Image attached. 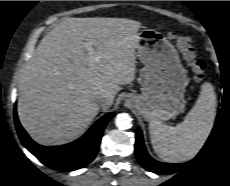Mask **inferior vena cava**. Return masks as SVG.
Returning <instances> with one entry per match:
<instances>
[{"mask_svg":"<svg viewBox=\"0 0 230 186\" xmlns=\"http://www.w3.org/2000/svg\"><path fill=\"white\" fill-rule=\"evenodd\" d=\"M96 103L99 105V106H104L105 104L108 103V99L105 97V96H98L96 98Z\"/></svg>","mask_w":230,"mask_h":186,"instance_id":"obj_1","label":"inferior vena cava"}]
</instances>
